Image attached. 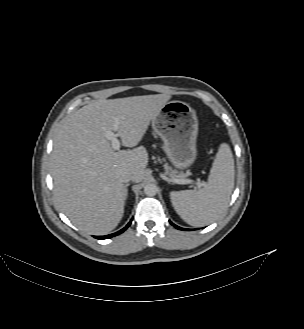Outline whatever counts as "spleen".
Masks as SVG:
<instances>
[{
    "label": "spleen",
    "mask_w": 304,
    "mask_h": 329,
    "mask_svg": "<svg viewBox=\"0 0 304 329\" xmlns=\"http://www.w3.org/2000/svg\"><path fill=\"white\" fill-rule=\"evenodd\" d=\"M234 159L228 144L220 145L208 177L199 190L170 193L177 214L189 225L203 226L216 220L227 208L234 187Z\"/></svg>",
    "instance_id": "1"
}]
</instances>
